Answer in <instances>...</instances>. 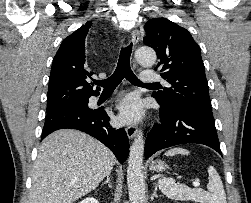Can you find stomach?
Instances as JSON below:
<instances>
[{
	"instance_id": "stomach-1",
	"label": "stomach",
	"mask_w": 251,
	"mask_h": 203,
	"mask_svg": "<svg viewBox=\"0 0 251 203\" xmlns=\"http://www.w3.org/2000/svg\"><path fill=\"white\" fill-rule=\"evenodd\" d=\"M151 169L157 172H162L167 169V164L164 161L157 160L151 163Z\"/></svg>"
}]
</instances>
